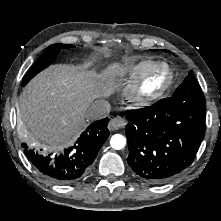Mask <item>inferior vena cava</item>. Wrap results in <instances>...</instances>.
Segmentation results:
<instances>
[{"label": "inferior vena cava", "instance_id": "602c4592", "mask_svg": "<svg viewBox=\"0 0 221 221\" xmlns=\"http://www.w3.org/2000/svg\"><path fill=\"white\" fill-rule=\"evenodd\" d=\"M111 106L108 101L99 99L91 103L86 117L90 120H100L106 118L110 113Z\"/></svg>", "mask_w": 221, "mask_h": 221}]
</instances>
